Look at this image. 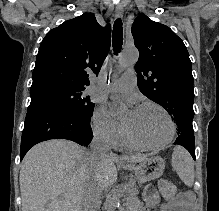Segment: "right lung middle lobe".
I'll list each match as a JSON object with an SVG mask.
<instances>
[{
	"mask_svg": "<svg viewBox=\"0 0 219 211\" xmlns=\"http://www.w3.org/2000/svg\"><path fill=\"white\" fill-rule=\"evenodd\" d=\"M81 90L83 89L61 84H50L30 92V95L31 97L36 95L51 96L65 105L76 115L89 119L92 116L94 104L90 102L89 97L81 98Z\"/></svg>",
	"mask_w": 219,
	"mask_h": 211,
	"instance_id": "1",
	"label": "right lung middle lobe"
}]
</instances>
